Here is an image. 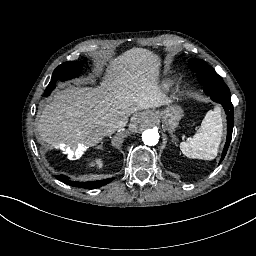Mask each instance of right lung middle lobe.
Segmentation results:
<instances>
[{"mask_svg":"<svg viewBox=\"0 0 256 256\" xmlns=\"http://www.w3.org/2000/svg\"><path fill=\"white\" fill-rule=\"evenodd\" d=\"M82 62L68 61L59 65L53 72L51 82L46 88L44 95L48 96L55 87L58 80L64 81L76 77L82 68Z\"/></svg>","mask_w":256,"mask_h":256,"instance_id":"obj_1","label":"right lung middle lobe"}]
</instances>
